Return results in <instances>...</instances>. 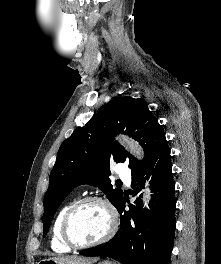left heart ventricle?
Here are the masks:
<instances>
[{
	"label": "left heart ventricle",
	"instance_id": "b2bd125f",
	"mask_svg": "<svg viewBox=\"0 0 221 264\" xmlns=\"http://www.w3.org/2000/svg\"><path fill=\"white\" fill-rule=\"evenodd\" d=\"M109 217L101 205L87 203L72 216L70 233L77 243H89L101 238L108 230Z\"/></svg>",
	"mask_w": 221,
	"mask_h": 264
}]
</instances>
